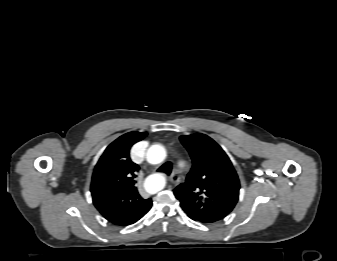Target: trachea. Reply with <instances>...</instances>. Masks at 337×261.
I'll use <instances>...</instances> for the list:
<instances>
[{"instance_id": "trachea-1", "label": "trachea", "mask_w": 337, "mask_h": 261, "mask_svg": "<svg viewBox=\"0 0 337 261\" xmlns=\"http://www.w3.org/2000/svg\"><path fill=\"white\" fill-rule=\"evenodd\" d=\"M171 170H172V166L171 164L168 162V163H165L163 164L159 169H158V172H164L166 174H170L171 173Z\"/></svg>"}]
</instances>
